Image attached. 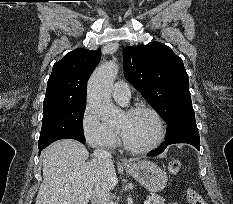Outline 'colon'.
Segmentation results:
<instances>
[{
  "mask_svg": "<svg viewBox=\"0 0 233 204\" xmlns=\"http://www.w3.org/2000/svg\"><path fill=\"white\" fill-rule=\"evenodd\" d=\"M168 168L171 174L176 175L180 173V171H182L183 165L181 161L173 160L169 163ZM185 193H186V198L190 202V204H206L203 197L198 192H196L194 189L187 188Z\"/></svg>",
  "mask_w": 233,
  "mask_h": 204,
  "instance_id": "colon-1",
  "label": "colon"
}]
</instances>
